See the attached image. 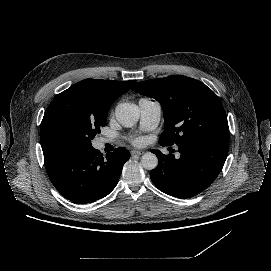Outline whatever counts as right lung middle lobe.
<instances>
[{"label": "right lung middle lobe", "mask_w": 271, "mask_h": 271, "mask_svg": "<svg viewBox=\"0 0 271 271\" xmlns=\"http://www.w3.org/2000/svg\"><path fill=\"white\" fill-rule=\"evenodd\" d=\"M107 115L85 108L70 93L56 95L47 107L40 127L42 150L61 146H92L91 140L106 125Z\"/></svg>", "instance_id": "obj_1"}]
</instances>
